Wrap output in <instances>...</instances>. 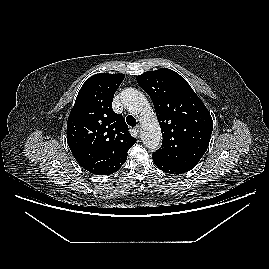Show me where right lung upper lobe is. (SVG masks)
<instances>
[{
  "label": "right lung upper lobe",
  "mask_w": 269,
  "mask_h": 269,
  "mask_svg": "<svg viewBox=\"0 0 269 269\" xmlns=\"http://www.w3.org/2000/svg\"><path fill=\"white\" fill-rule=\"evenodd\" d=\"M124 74L101 73L81 87L67 122L68 146L79 165L96 175L118 171L136 142L121 114L112 110Z\"/></svg>",
  "instance_id": "1"
}]
</instances>
